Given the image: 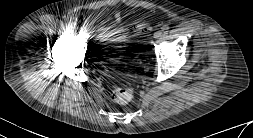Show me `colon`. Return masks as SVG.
Masks as SVG:
<instances>
[{"label": "colon", "mask_w": 253, "mask_h": 138, "mask_svg": "<svg viewBox=\"0 0 253 138\" xmlns=\"http://www.w3.org/2000/svg\"><path fill=\"white\" fill-rule=\"evenodd\" d=\"M151 29L147 23L137 24L135 26V32L144 33ZM133 93L130 88L121 87L117 88L113 92V99L119 104H127L132 99Z\"/></svg>", "instance_id": "1"}]
</instances>
